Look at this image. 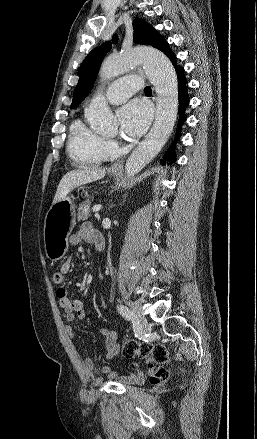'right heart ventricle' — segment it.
Listing matches in <instances>:
<instances>
[{"label": "right heart ventricle", "mask_w": 257, "mask_h": 439, "mask_svg": "<svg viewBox=\"0 0 257 439\" xmlns=\"http://www.w3.org/2000/svg\"><path fill=\"white\" fill-rule=\"evenodd\" d=\"M104 138L90 130L81 121L73 123L68 139V152L73 161L84 167L100 165L106 158Z\"/></svg>", "instance_id": "right-heart-ventricle-1"}]
</instances>
